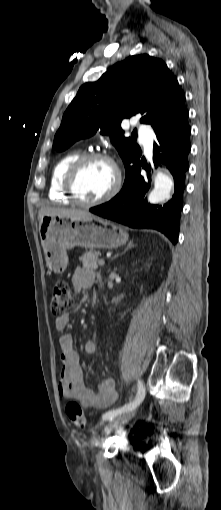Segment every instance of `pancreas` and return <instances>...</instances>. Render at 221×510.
Returning <instances> with one entry per match:
<instances>
[{
	"label": "pancreas",
	"instance_id": "cf45deb5",
	"mask_svg": "<svg viewBox=\"0 0 221 510\" xmlns=\"http://www.w3.org/2000/svg\"><path fill=\"white\" fill-rule=\"evenodd\" d=\"M99 251H89L84 253L79 260L82 262L85 268L96 270L98 268L97 260L98 256H100Z\"/></svg>",
	"mask_w": 221,
	"mask_h": 510
}]
</instances>
